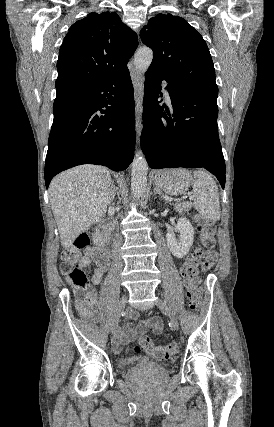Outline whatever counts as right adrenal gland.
<instances>
[{
    "label": "right adrenal gland",
    "mask_w": 274,
    "mask_h": 427,
    "mask_svg": "<svg viewBox=\"0 0 274 427\" xmlns=\"http://www.w3.org/2000/svg\"><path fill=\"white\" fill-rule=\"evenodd\" d=\"M111 184H112V190L110 192L109 202H114L115 196L117 194V190H115L114 182H111Z\"/></svg>",
    "instance_id": "2a0ac1e0"
}]
</instances>
